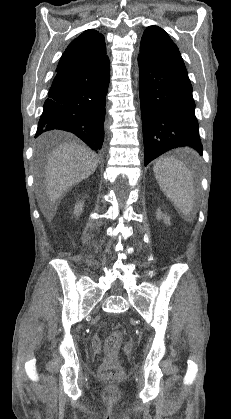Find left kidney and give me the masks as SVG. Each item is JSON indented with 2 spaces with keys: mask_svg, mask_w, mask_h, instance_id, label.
<instances>
[{
  "mask_svg": "<svg viewBox=\"0 0 231 419\" xmlns=\"http://www.w3.org/2000/svg\"><path fill=\"white\" fill-rule=\"evenodd\" d=\"M156 216L158 219H163L164 223L170 225V218L166 214H163L160 209L157 210Z\"/></svg>",
  "mask_w": 231,
  "mask_h": 419,
  "instance_id": "1",
  "label": "left kidney"
}]
</instances>
